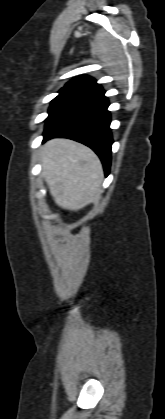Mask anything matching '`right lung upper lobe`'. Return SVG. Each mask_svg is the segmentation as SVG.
<instances>
[{"label":"right lung upper lobe","instance_id":"1","mask_svg":"<svg viewBox=\"0 0 165 419\" xmlns=\"http://www.w3.org/2000/svg\"><path fill=\"white\" fill-rule=\"evenodd\" d=\"M62 90L78 93L85 97L102 91V87L93 78L80 76L68 82Z\"/></svg>","mask_w":165,"mask_h":419}]
</instances>
